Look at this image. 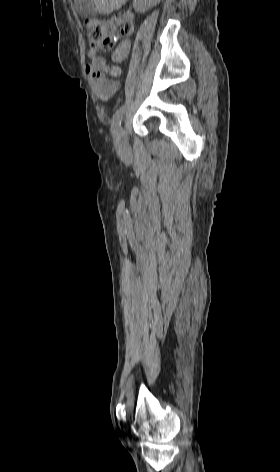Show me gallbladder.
<instances>
[{"label": "gallbladder", "instance_id": "bac80fb5", "mask_svg": "<svg viewBox=\"0 0 280 472\" xmlns=\"http://www.w3.org/2000/svg\"><path fill=\"white\" fill-rule=\"evenodd\" d=\"M75 6L78 14L82 18H87L96 14L93 0H75Z\"/></svg>", "mask_w": 280, "mask_h": 472}]
</instances>
